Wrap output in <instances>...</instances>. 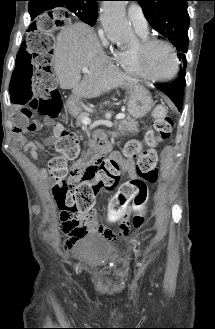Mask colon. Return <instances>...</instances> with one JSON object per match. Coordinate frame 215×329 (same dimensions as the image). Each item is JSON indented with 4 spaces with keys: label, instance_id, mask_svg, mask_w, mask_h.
I'll list each match as a JSON object with an SVG mask.
<instances>
[{
    "label": "colon",
    "instance_id": "obj_1",
    "mask_svg": "<svg viewBox=\"0 0 215 329\" xmlns=\"http://www.w3.org/2000/svg\"><path fill=\"white\" fill-rule=\"evenodd\" d=\"M71 14H36L32 25H28L27 40L20 55H14L16 62L15 81L10 82L7 92L10 103L20 109L22 119L28 118L32 110L43 117L55 119L61 110V96L56 88V78L51 68L53 61V38L58 32H65L69 26ZM154 129L146 134V143L150 146L142 150L141 143L131 140L123 147L128 158L137 159V172L143 182H156L157 153L154 146L170 137L174 122L168 109L157 105L153 111ZM34 131V126L19 127ZM56 155L49 162V173L54 180L52 193L57 201L62 219L89 214L95 204L96 196L102 191H111L119 183L120 167L114 159H95L82 169L70 172L72 181L67 177V163L73 160L79 151L78 137L65 128L57 127ZM69 177V178H70ZM147 201V199H146ZM144 218H133L135 227H140Z\"/></svg>",
    "mask_w": 215,
    "mask_h": 329
}]
</instances>
